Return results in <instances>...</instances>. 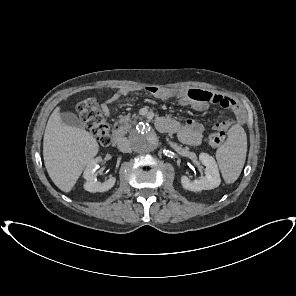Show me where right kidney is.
<instances>
[{
	"instance_id": "obj_1",
	"label": "right kidney",
	"mask_w": 296,
	"mask_h": 296,
	"mask_svg": "<svg viewBox=\"0 0 296 296\" xmlns=\"http://www.w3.org/2000/svg\"><path fill=\"white\" fill-rule=\"evenodd\" d=\"M102 161L103 159L101 157H97L89 162L84 170L83 177L86 180L84 184V189L88 192H105L115 185V177H110L107 181L103 183L97 181L96 170L99 168V163H101Z\"/></svg>"
}]
</instances>
